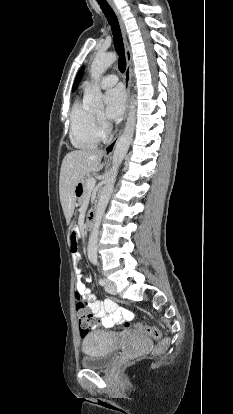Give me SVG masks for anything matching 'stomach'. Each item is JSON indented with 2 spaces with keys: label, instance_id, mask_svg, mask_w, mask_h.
<instances>
[{
  "label": "stomach",
  "instance_id": "obj_1",
  "mask_svg": "<svg viewBox=\"0 0 233 414\" xmlns=\"http://www.w3.org/2000/svg\"><path fill=\"white\" fill-rule=\"evenodd\" d=\"M83 192H84V184L79 183L76 187H75V196L76 197H82L83 196Z\"/></svg>",
  "mask_w": 233,
  "mask_h": 414
}]
</instances>
